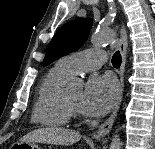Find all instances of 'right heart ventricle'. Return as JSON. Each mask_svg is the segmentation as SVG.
Instances as JSON below:
<instances>
[{
  "mask_svg": "<svg viewBox=\"0 0 155 149\" xmlns=\"http://www.w3.org/2000/svg\"><path fill=\"white\" fill-rule=\"evenodd\" d=\"M70 78L58 64L51 68L38 85L32 121L46 127H60L70 120L63 103V86Z\"/></svg>",
  "mask_w": 155,
  "mask_h": 149,
  "instance_id": "1",
  "label": "right heart ventricle"
}]
</instances>
